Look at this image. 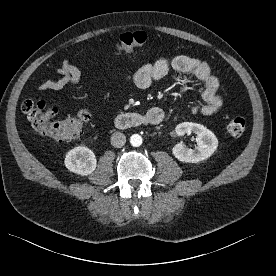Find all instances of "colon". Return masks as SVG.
<instances>
[{
  "label": "colon",
  "instance_id": "colon-1",
  "mask_svg": "<svg viewBox=\"0 0 276 276\" xmlns=\"http://www.w3.org/2000/svg\"><path fill=\"white\" fill-rule=\"evenodd\" d=\"M149 41L144 32L121 34L114 45L120 52H130L141 48ZM33 129L41 135L51 138L57 143L75 139L88 122V113L80 110L76 115L58 118V110L48 106L42 96L25 100L21 106ZM246 129V120L241 116L234 117L227 125V133L232 137H240Z\"/></svg>",
  "mask_w": 276,
  "mask_h": 276
}]
</instances>
